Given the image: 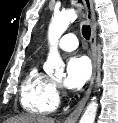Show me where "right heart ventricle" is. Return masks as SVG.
I'll use <instances>...</instances> for the list:
<instances>
[{
    "instance_id": "1",
    "label": "right heart ventricle",
    "mask_w": 118,
    "mask_h": 123,
    "mask_svg": "<svg viewBox=\"0 0 118 123\" xmlns=\"http://www.w3.org/2000/svg\"><path fill=\"white\" fill-rule=\"evenodd\" d=\"M20 102L26 111L38 115L50 114L58 107L54 82L37 64L31 66L23 79Z\"/></svg>"
}]
</instances>
